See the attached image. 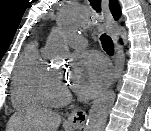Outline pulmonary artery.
I'll list each match as a JSON object with an SVG mask.
<instances>
[{"label": "pulmonary artery", "instance_id": "e3ab8cb5", "mask_svg": "<svg viewBox=\"0 0 151 131\" xmlns=\"http://www.w3.org/2000/svg\"><path fill=\"white\" fill-rule=\"evenodd\" d=\"M69 42L74 47H80L86 43L85 39L78 34H71Z\"/></svg>", "mask_w": 151, "mask_h": 131}]
</instances>
